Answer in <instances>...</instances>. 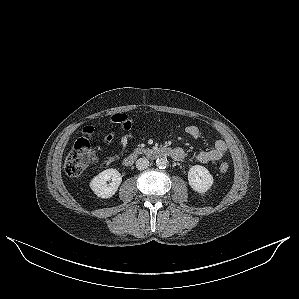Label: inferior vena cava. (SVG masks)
Listing matches in <instances>:
<instances>
[{
    "label": "inferior vena cava",
    "instance_id": "602c4592",
    "mask_svg": "<svg viewBox=\"0 0 299 299\" xmlns=\"http://www.w3.org/2000/svg\"><path fill=\"white\" fill-rule=\"evenodd\" d=\"M149 166V160L147 158H139L136 161V168L138 170H144Z\"/></svg>",
    "mask_w": 299,
    "mask_h": 299
}]
</instances>
